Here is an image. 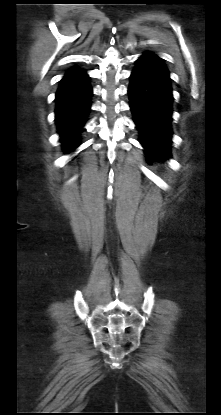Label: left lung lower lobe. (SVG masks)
Instances as JSON below:
<instances>
[{
	"label": "left lung lower lobe",
	"instance_id": "1",
	"mask_svg": "<svg viewBox=\"0 0 221 415\" xmlns=\"http://www.w3.org/2000/svg\"><path fill=\"white\" fill-rule=\"evenodd\" d=\"M128 94L139 141L149 160L170 157L172 131V87L164 61L144 53L135 62Z\"/></svg>",
	"mask_w": 221,
	"mask_h": 415
}]
</instances>
